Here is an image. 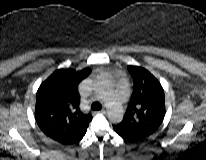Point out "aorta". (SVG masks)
<instances>
[{
    "mask_svg": "<svg viewBox=\"0 0 206 160\" xmlns=\"http://www.w3.org/2000/svg\"><path fill=\"white\" fill-rule=\"evenodd\" d=\"M108 109V117L113 123H118L123 118V105L120 97L112 92L109 97L105 99Z\"/></svg>",
    "mask_w": 206,
    "mask_h": 160,
    "instance_id": "obj_1",
    "label": "aorta"
}]
</instances>
